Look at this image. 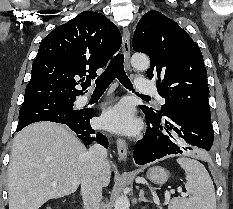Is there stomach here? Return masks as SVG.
Returning a JSON list of instances; mask_svg holds the SVG:
<instances>
[{"label": "stomach", "instance_id": "obj_1", "mask_svg": "<svg viewBox=\"0 0 233 209\" xmlns=\"http://www.w3.org/2000/svg\"><path fill=\"white\" fill-rule=\"evenodd\" d=\"M147 178L155 184L162 185L168 180V172L162 167L155 166L148 170Z\"/></svg>", "mask_w": 233, "mask_h": 209}]
</instances>
